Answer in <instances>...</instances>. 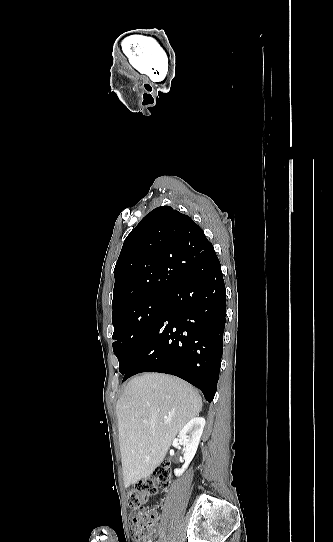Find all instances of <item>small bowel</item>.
I'll return each instance as SVG.
<instances>
[{"label": "small bowel", "instance_id": "small-bowel-1", "mask_svg": "<svg viewBox=\"0 0 333 542\" xmlns=\"http://www.w3.org/2000/svg\"><path fill=\"white\" fill-rule=\"evenodd\" d=\"M157 533H158V532H157L156 530H155L153 533H151V535H150L151 538H153V539L156 538V536H157L156 534H157Z\"/></svg>", "mask_w": 333, "mask_h": 542}]
</instances>
